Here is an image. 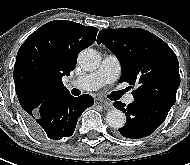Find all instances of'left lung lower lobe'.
Wrapping results in <instances>:
<instances>
[{"label":"left lung lower lobe","mask_w":190,"mask_h":165,"mask_svg":"<svg viewBox=\"0 0 190 165\" xmlns=\"http://www.w3.org/2000/svg\"><path fill=\"white\" fill-rule=\"evenodd\" d=\"M172 106L164 101L150 99H134L127 107L120 101L114 102V107L127 117L126 124L119 129L120 134L132 139L149 136L164 122Z\"/></svg>","instance_id":"0a47b994"}]
</instances>
